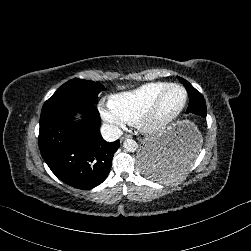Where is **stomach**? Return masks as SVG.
Wrapping results in <instances>:
<instances>
[{"label":"stomach","mask_w":251,"mask_h":251,"mask_svg":"<svg viewBox=\"0 0 251 251\" xmlns=\"http://www.w3.org/2000/svg\"><path fill=\"white\" fill-rule=\"evenodd\" d=\"M201 145V133L193 122H177L161 136L141 142L139 168L151 181L179 179L199 161Z\"/></svg>","instance_id":"stomach-1"}]
</instances>
